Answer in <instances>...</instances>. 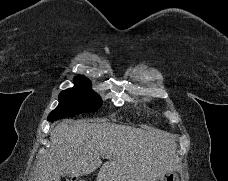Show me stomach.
I'll use <instances>...</instances> for the list:
<instances>
[{"label":"stomach","mask_w":228,"mask_h":181,"mask_svg":"<svg viewBox=\"0 0 228 181\" xmlns=\"http://www.w3.org/2000/svg\"><path fill=\"white\" fill-rule=\"evenodd\" d=\"M161 181H179V179H178V175H176V173H174V171H172V173H168V175H166V177H163V179H161Z\"/></svg>","instance_id":"1"}]
</instances>
